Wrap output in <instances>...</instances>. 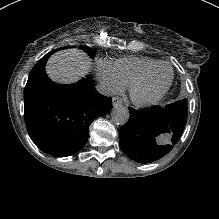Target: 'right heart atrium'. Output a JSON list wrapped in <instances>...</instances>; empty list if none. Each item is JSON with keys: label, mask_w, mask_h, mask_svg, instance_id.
I'll return each instance as SVG.
<instances>
[{"label": "right heart atrium", "mask_w": 219, "mask_h": 219, "mask_svg": "<svg viewBox=\"0 0 219 219\" xmlns=\"http://www.w3.org/2000/svg\"><path fill=\"white\" fill-rule=\"evenodd\" d=\"M97 76L104 88L110 93H120L124 89V85L114 74L111 66L105 62H99L97 65Z\"/></svg>", "instance_id": "right-heart-atrium-1"}]
</instances>
